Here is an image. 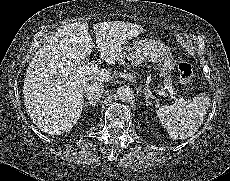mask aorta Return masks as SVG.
I'll list each match as a JSON object with an SVG mask.
<instances>
[{
	"label": "aorta",
	"instance_id": "obj_1",
	"mask_svg": "<svg viewBox=\"0 0 230 181\" xmlns=\"http://www.w3.org/2000/svg\"><path fill=\"white\" fill-rule=\"evenodd\" d=\"M118 97L124 103H134L136 100V96L134 91L128 86H123L118 89Z\"/></svg>",
	"mask_w": 230,
	"mask_h": 181
}]
</instances>
